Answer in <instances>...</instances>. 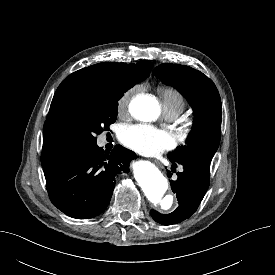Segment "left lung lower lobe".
I'll return each instance as SVG.
<instances>
[{
    "label": "left lung lower lobe",
    "instance_id": "left-lung-lower-lobe-1",
    "mask_svg": "<svg viewBox=\"0 0 275 275\" xmlns=\"http://www.w3.org/2000/svg\"><path fill=\"white\" fill-rule=\"evenodd\" d=\"M174 166L181 164L184 171L178 172L176 180H170L172 191L178 198V208L170 214H161L151 210L152 218L162 225H172L189 218L202 201L210 179V162L203 159H189L175 162L169 159ZM171 178V172L167 171Z\"/></svg>",
    "mask_w": 275,
    "mask_h": 275
}]
</instances>
